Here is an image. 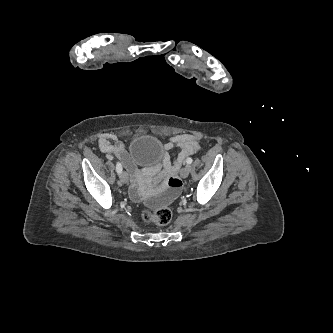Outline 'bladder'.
I'll list each match as a JSON object with an SVG mask.
<instances>
[{"instance_id":"bladder-1","label":"bladder","mask_w":333,"mask_h":333,"mask_svg":"<svg viewBox=\"0 0 333 333\" xmlns=\"http://www.w3.org/2000/svg\"><path fill=\"white\" fill-rule=\"evenodd\" d=\"M128 155L137 164L153 165L163 158L164 147L154 135H137L130 142Z\"/></svg>"}]
</instances>
